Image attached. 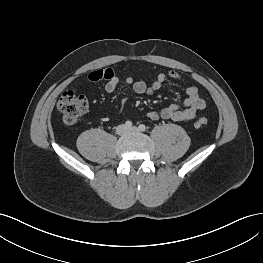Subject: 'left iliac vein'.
I'll return each instance as SVG.
<instances>
[{"mask_svg":"<svg viewBox=\"0 0 263 263\" xmlns=\"http://www.w3.org/2000/svg\"><path fill=\"white\" fill-rule=\"evenodd\" d=\"M128 132H138L139 129L137 127H131L129 129H127Z\"/></svg>","mask_w":263,"mask_h":263,"instance_id":"left-iliac-vein-1","label":"left iliac vein"}]
</instances>
